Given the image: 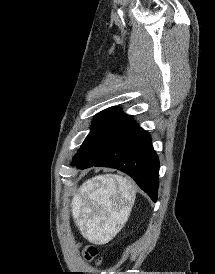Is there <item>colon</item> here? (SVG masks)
<instances>
[{
  "mask_svg": "<svg viewBox=\"0 0 215 274\" xmlns=\"http://www.w3.org/2000/svg\"><path fill=\"white\" fill-rule=\"evenodd\" d=\"M83 256L87 261L99 262L98 249L95 246H87L83 249Z\"/></svg>",
  "mask_w": 215,
  "mask_h": 274,
  "instance_id": "1",
  "label": "colon"
}]
</instances>
